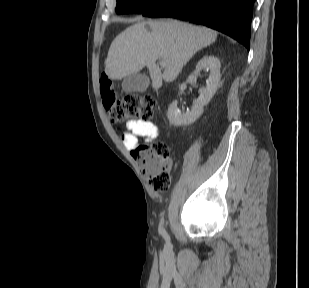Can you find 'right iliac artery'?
<instances>
[{"label": "right iliac artery", "instance_id": "1", "mask_svg": "<svg viewBox=\"0 0 309 288\" xmlns=\"http://www.w3.org/2000/svg\"><path fill=\"white\" fill-rule=\"evenodd\" d=\"M159 232H160V233H165V229H164V227H163V217H162V219H161V224H160V227H159Z\"/></svg>", "mask_w": 309, "mask_h": 288}]
</instances>
